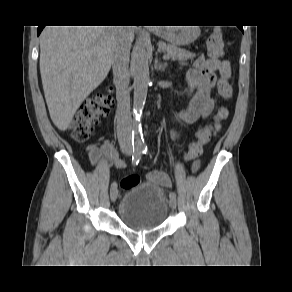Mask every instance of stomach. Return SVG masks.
I'll use <instances>...</instances> for the list:
<instances>
[{
    "label": "stomach",
    "instance_id": "0dacf381",
    "mask_svg": "<svg viewBox=\"0 0 292 292\" xmlns=\"http://www.w3.org/2000/svg\"><path fill=\"white\" fill-rule=\"evenodd\" d=\"M198 27H166L156 32L158 36L175 46L187 45L199 35Z\"/></svg>",
    "mask_w": 292,
    "mask_h": 292
}]
</instances>
